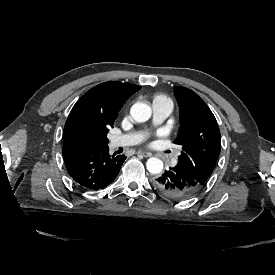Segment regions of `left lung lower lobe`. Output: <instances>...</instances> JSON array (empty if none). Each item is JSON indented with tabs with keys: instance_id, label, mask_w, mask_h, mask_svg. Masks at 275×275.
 Segmentation results:
<instances>
[{
	"instance_id": "0a47b994",
	"label": "left lung lower lobe",
	"mask_w": 275,
	"mask_h": 275,
	"mask_svg": "<svg viewBox=\"0 0 275 275\" xmlns=\"http://www.w3.org/2000/svg\"><path fill=\"white\" fill-rule=\"evenodd\" d=\"M153 184L162 195L173 200L190 198L203 186L178 165L165 171Z\"/></svg>"
}]
</instances>
